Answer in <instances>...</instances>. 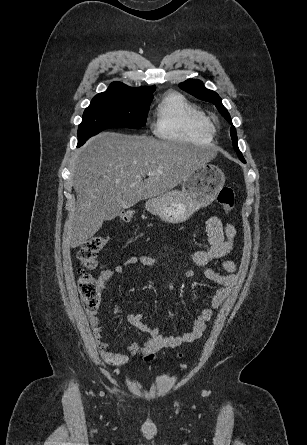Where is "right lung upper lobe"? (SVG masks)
Wrapping results in <instances>:
<instances>
[{"label": "right lung upper lobe", "mask_w": 307, "mask_h": 445, "mask_svg": "<svg viewBox=\"0 0 307 445\" xmlns=\"http://www.w3.org/2000/svg\"><path fill=\"white\" fill-rule=\"evenodd\" d=\"M155 86L131 88L121 82H113L110 87L98 95H112L140 100H152Z\"/></svg>", "instance_id": "cb5924a9"}]
</instances>
